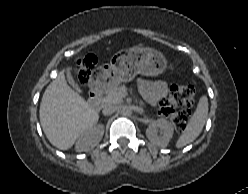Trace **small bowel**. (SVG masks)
<instances>
[{
    "instance_id": "obj_1",
    "label": "small bowel",
    "mask_w": 248,
    "mask_h": 194,
    "mask_svg": "<svg viewBox=\"0 0 248 194\" xmlns=\"http://www.w3.org/2000/svg\"><path fill=\"white\" fill-rule=\"evenodd\" d=\"M138 85L144 97L153 105L159 104L168 92L166 83L160 80H140Z\"/></svg>"
}]
</instances>
